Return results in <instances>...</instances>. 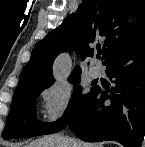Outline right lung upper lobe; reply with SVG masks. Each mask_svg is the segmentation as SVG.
Masks as SVG:
<instances>
[{
	"mask_svg": "<svg viewBox=\"0 0 145 147\" xmlns=\"http://www.w3.org/2000/svg\"><path fill=\"white\" fill-rule=\"evenodd\" d=\"M145 28L144 0H83L75 14L52 30L32 50L15 90L53 84L52 65L62 52L78 49L81 57L93 56L91 44L103 43L102 64L130 37ZM76 67L70 78L80 75Z\"/></svg>",
	"mask_w": 145,
	"mask_h": 147,
	"instance_id": "cb5924a9",
	"label": "right lung upper lobe"
}]
</instances>
